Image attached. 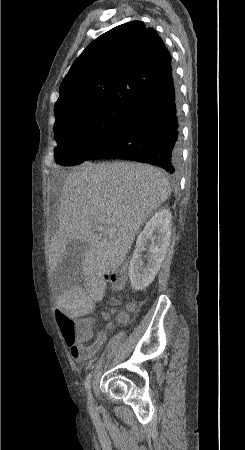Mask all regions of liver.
Here are the masks:
<instances>
[{
  "label": "liver",
  "instance_id": "liver-1",
  "mask_svg": "<svg viewBox=\"0 0 245 450\" xmlns=\"http://www.w3.org/2000/svg\"><path fill=\"white\" fill-rule=\"evenodd\" d=\"M168 179L157 168L131 162L84 164L65 175L58 214L59 230L49 246L55 271L72 240L88 244L82 260L85 289L62 288L58 309L69 317L85 315L104 296L103 276L117 269L140 226L169 196ZM94 225L115 228L113 235L95 232Z\"/></svg>",
  "mask_w": 245,
  "mask_h": 450
}]
</instances>
